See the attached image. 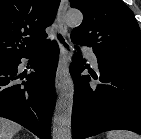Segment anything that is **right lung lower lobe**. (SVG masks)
Instances as JSON below:
<instances>
[{"instance_id": "98d812e1", "label": "right lung lower lobe", "mask_w": 141, "mask_h": 139, "mask_svg": "<svg viewBox=\"0 0 141 139\" xmlns=\"http://www.w3.org/2000/svg\"><path fill=\"white\" fill-rule=\"evenodd\" d=\"M59 48L55 42L0 64V117L13 120L41 139L51 138L55 106V73ZM33 60L34 72L18 83L21 58ZM23 79V77H21Z\"/></svg>"}]
</instances>
